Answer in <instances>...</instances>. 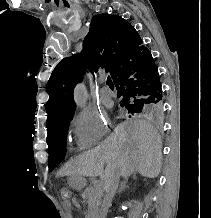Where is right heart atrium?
Instances as JSON below:
<instances>
[{
  "mask_svg": "<svg viewBox=\"0 0 211 218\" xmlns=\"http://www.w3.org/2000/svg\"><path fill=\"white\" fill-rule=\"evenodd\" d=\"M71 125L78 145L89 147L100 140L107 131L103 114L94 108L86 107L80 110L71 120Z\"/></svg>",
  "mask_w": 211,
  "mask_h": 218,
  "instance_id": "1",
  "label": "right heart atrium"
}]
</instances>
